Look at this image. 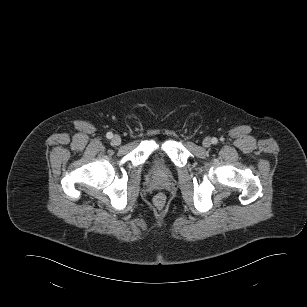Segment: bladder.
<instances>
[{
  "label": "bladder",
  "mask_w": 307,
  "mask_h": 307,
  "mask_svg": "<svg viewBox=\"0 0 307 307\" xmlns=\"http://www.w3.org/2000/svg\"><path fill=\"white\" fill-rule=\"evenodd\" d=\"M160 165L159 164H156L155 166H154V170H155V172H157V173H159L160 172Z\"/></svg>",
  "instance_id": "bladder-1"
}]
</instances>
